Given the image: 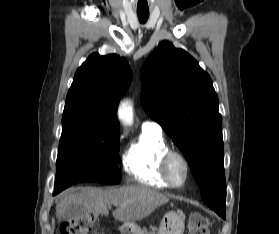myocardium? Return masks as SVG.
Listing matches in <instances>:
<instances>
[{
	"label": "myocardium",
	"mask_w": 279,
	"mask_h": 234,
	"mask_svg": "<svg viewBox=\"0 0 279 234\" xmlns=\"http://www.w3.org/2000/svg\"><path fill=\"white\" fill-rule=\"evenodd\" d=\"M174 159H178L184 166L185 176L182 182L176 183L170 174V166ZM161 175L164 181L172 188H181L186 184L190 177V164L187 158L179 151L168 149L161 157L160 161Z\"/></svg>",
	"instance_id": "f54148a6"
}]
</instances>
